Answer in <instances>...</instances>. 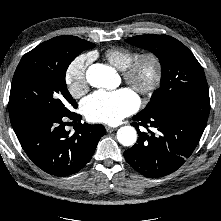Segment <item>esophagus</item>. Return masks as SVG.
I'll list each match as a JSON object with an SVG mask.
<instances>
[{
  "label": "esophagus",
  "mask_w": 221,
  "mask_h": 221,
  "mask_svg": "<svg viewBox=\"0 0 221 221\" xmlns=\"http://www.w3.org/2000/svg\"><path fill=\"white\" fill-rule=\"evenodd\" d=\"M105 128H106V131H107L108 133H111V132H113V131L116 130V128L110 127V126H106Z\"/></svg>",
  "instance_id": "obj_1"
}]
</instances>
